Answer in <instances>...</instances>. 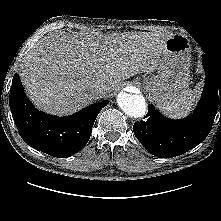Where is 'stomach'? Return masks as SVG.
<instances>
[{
  "mask_svg": "<svg viewBox=\"0 0 221 221\" xmlns=\"http://www.w3.org/2000/svg\"><path fill=\"white\" fill-rule=\"evenodd\" d=\"M166 55L157 75L144 81L145 90L159 107L178 103L188 93L190 41L175 34L165 41Z\"/></svg>",
  "mask_w": 221,
  "mask_h": 221,
  "instance_id": "stomach-1",
  "label": "stomach"
}]
</instances>
